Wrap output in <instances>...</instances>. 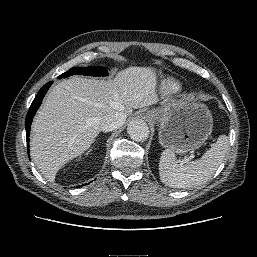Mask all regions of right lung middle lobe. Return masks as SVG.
Masks as SVG:
<instances>
[{
    "mask_svg": "<svg viewBox=\"0 0 257 257\" xmlns=\"http://www.w3.org/2000/svg\"><path fill=\"white\" fill-rule=\"evenodd\" d=\"M74 74H81L86 76H106L108 75L107 70L100 66H90V67H74L69 69L67 72L61 74L59 78H66Z\"/></svg>",
    "mask_w": 257,
    "mask_h": 257,
    "instance_id": "1",
    "label": "right lung middle lobe"
}]
</instances>
